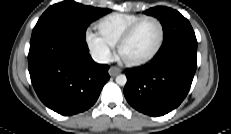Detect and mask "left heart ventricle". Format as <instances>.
I'll return each instance as SVG.
<instances>
[{
    "instance_id": "left-heart-ventricle-1",
    "label": "left heart ventricle",
    "mask_w": 231,
    "mask_h": 134,
    "mask_svg": "<svg viewBox=\"0 0 231 134\" xmlns=\"http://www.w3.org/2000/svg\"><path fill=\"white\" fill-rule=\"evenodd\" d=\"M160 37L158 25L153 21L143 22L131 39L123 46L121 55L127 61L140 60L150 55Z\"/></svg>"
}]
</instances>
